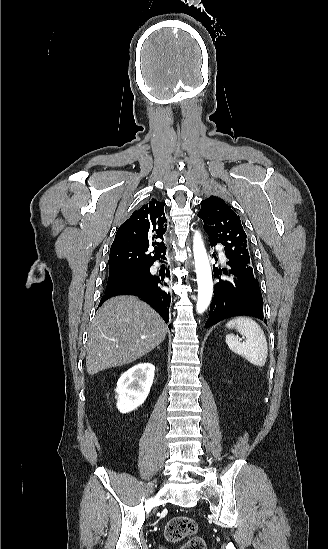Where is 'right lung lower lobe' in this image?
I'll use <instances>...</instances> for the list:
<instances>
[{
  "label": "right lung lower lobe",
  "mask_w": 328,
  "mask_h": 549,
  "mask_svg": "<svg viewBox=\"0 0 328 549\" xmlns=\"http://www.w3.org/2000/svg\"><path fill=\"white\" fill-rule=\"evenodd\" d=\"M166 279H170L168 271L151 275L146 281L129 283L122 285L110 291H105V295L101 298V305L106 299L120 294L136 295L144 299L153 309H155L164 319L166 323L169 321V306L171 303V295L165 290L167 286ZM171 329V324L169 325Z\"/></svg>",
  "instance_id": "98d812e1"
}]
</instances>
